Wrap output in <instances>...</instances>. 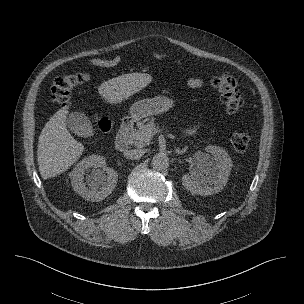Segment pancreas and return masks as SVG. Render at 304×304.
Wrapping results in <instances>:
<instances>
[{
	"mask_svg": "<svg viewBox=\"0 0 304 304\" xmlns=\"http://www.w3.org/2000/svg\"><path fill=\"white\" fill-rule=\"evenodd\" d=\"M155 128L153 119H145L136 124V128L131 129L127 134L128 142L135 147L142 148L150 144L152 136L149 134L150 128Z\"/></svg>",
	"mask_w": 304,
	"mask_h": 304,
	"instance_id": "pancreas-1",
	"label": "pancreas"
}]
</instances>
